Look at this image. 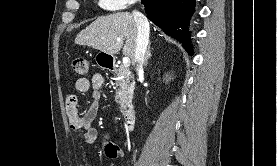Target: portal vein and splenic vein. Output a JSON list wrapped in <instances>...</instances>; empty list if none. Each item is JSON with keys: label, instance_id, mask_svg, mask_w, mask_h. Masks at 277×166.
Listing matches in <instances>:
<instances>
[{"label": "portal vein and splenic vein", "instance_id": "18ae733b", "mask_svg": "<svg viewBox=\"0 0 277 166\" xmlns=\"http://www.w3.org/2000/svg\"><path fill=\"white\" fill-rule=\"evenodd\" d=\"M118 40H120V39H118ZM123 65L125 67H129V65H130V59H129V57H124L123 58Z\"/></svg>", "mask_w": 277, "mask_h": 166}]
</instances>
